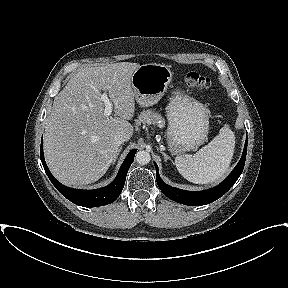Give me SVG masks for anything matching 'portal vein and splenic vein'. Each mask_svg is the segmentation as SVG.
<instances>
[{
  "label": "portal vein and splenic vein",
  "mask_w": 288,
  "mask_h": 288,
  "mask_svg": "<svg viewBox=\"0 0 288 288\" xmlns=\"http://www.w3.org/2000/svg\"><path fill=\"white\" fill-rule=\"evenodd\" d=\"M101 100L103 101L104 105H105V109H104V114L106 116H110L112 113V102L110 101V99L108 98L107 93H103L101 94Z\"/></svg>",
  "instance_id": "1"
}]
</instances>
